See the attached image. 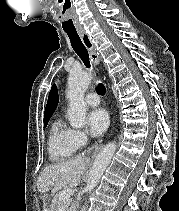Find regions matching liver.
Masks as SVG:
<instances>
[{"label": "liver", "mask_w": 179, "mask_h": 211, "mask_svg": "<svg viewBox=\"0 0 179 211\" xmlns=\"http://www.w3.org/2000/svg\"><path fill=\"white\" fill-rule=\"evenodd\" d=\"M86 170V162L82 156L72 160L53 164L44 168L37 181V188L40 193L50 190L56 192L62 187H76ZM52 211V207L50 209Z\"/></svg>", "instance_id": "obj_1"}]
</instances>
